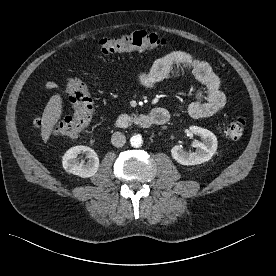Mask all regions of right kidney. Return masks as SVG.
Masks as SVG:
<instances>
[{
    "label": "right kidney",
    "mask_w": 276,
    "mask_h": 276,
    "mask_svg": "<svg viewBox=\"0 0 276 276\" xmlns=\"http://www.w3.org/2000/svg\"><path fill=\"white\" fill-rule=\"evenodd\" d=\"M81 153L86 154V158H88L86 163L78 161L77 157ZM62 165L68 173L87 178L95 175L97 172L99 168V158L96 152L87 146H74L64 154Z\"/></svg>",
    "instance_id": "1"
}]
</instances>
